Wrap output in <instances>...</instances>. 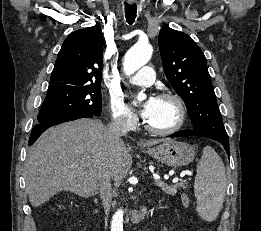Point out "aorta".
<instances>
[{"instance_id": "obj_1", "label": "aorta", "mask_w": 261, "mask_h": 231, "mask_svg": "<svg viewBox=\"0 0 261 231\" xmlns=\"http://www.w3.org/2000/svg\"><path fill=\"white\" fill-rule=\"evenodd\" d=\"M153 49L148 43H137L131 47L124 57L123 68L126 75L135 73L144 66L151 58ZM146 95L140 92L138 100H144ZM123 210L119 209L112 218L111 231H123Z\"/></svg>"}]
</instances>
